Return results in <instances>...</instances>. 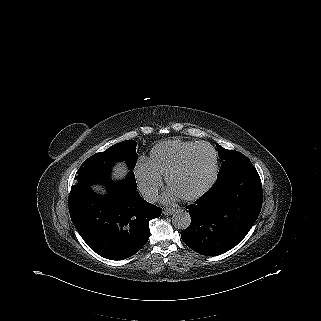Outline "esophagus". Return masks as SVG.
Returning a JSON list of instances; mask_svg holds the SVG:
<instances>
[{
	"instance_id": "obj_1",
	"label": "esophagus",
	"mask_w": 321,
	"mask_h": 321,
	"mask_svg": "<svg viewBox=\"0 0 321 321\" xmlns=\"http://www.w3.org/2000/svg\"><path fill=\"white\" fill-rule=\"evenodd\" d=\"M175 212V209L173 208H165L164 211H163V214L164 215H171Z\"/></svg>"
}]
</instances>
